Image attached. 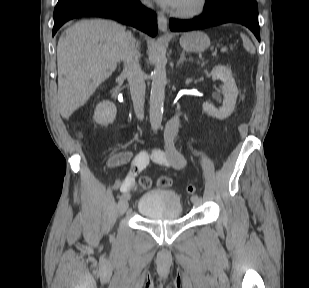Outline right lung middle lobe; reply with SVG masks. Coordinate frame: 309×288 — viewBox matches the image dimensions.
Segmentation results:
<instances>
[{"instance_id":"1","label":"right lung middle lobe","mask_w":309,"mask_h":288,"mask_svg":"<svg viewBox=\"0 0 309 288\" xmlns=\"http://www.w3.org/2000/svg\"><path fill=\"white\" fill-rule=\"evenodd\" d=\"M75 0H58L55 10L62 9L63 7L69 5L70 3L74 2Z\"/></svg>"}]
</instances>
